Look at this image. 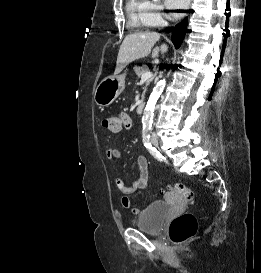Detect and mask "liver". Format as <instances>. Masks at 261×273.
<instances>
[{
  "instance_id": "1",
  "label": "liver",
  "mask_w": 261,
  "mask_h": 273,
  "mask_svg": "<svg viewBox=\"0 0 261 273\" xmlns=\"http://www.w3.org/2000/svg\"><path fill=\"white\" fill-rule=\"evenodd\" d=\"M159 38L160 34L156 32H139L127 35L120 46L114 74H119L131 62L147 57ZM167 50V45L162 44L152 51V58H156L159 52L165 53Z\"/></svg>"
}]
</instances>
